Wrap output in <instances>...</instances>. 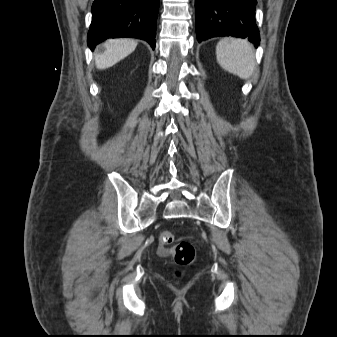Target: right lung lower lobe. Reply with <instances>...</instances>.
Returning <instances> with one entry per match:
<instances>
[{
    "label": "right lung lower lobe",
    "instance_id": "98d812e1",
    "mask_svg": "<svg viewBox=\"0 0 337 337\" xmlns=\"http://www.w3.org/2000/svg\"><path fill=\"white\" fill-rule=\"evenodd\" d=\"M159 0H95L88 33L91 50L108 38L131 37L155 48Z\"/></svg>",
    "mask_w": 337,
    "mask_h": 337
}]
</instances>
